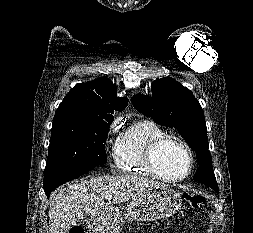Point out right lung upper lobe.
Segmentation results:
<instances>
[{
  "label": "right lung upper lobe",
  "mask_w": 253,
  "mask_h": 233,
  "mask_svg": "<svg viewBox=\"0 0 253 233\" xmlns=\"http://www.w3.org/2000/svg\"><path fill=\"white\" fill-rule=\"evenodd\" d=\"M116 91L115 85L107 78L77 84L60 103L57 111L113 117L114 110L122 111L128 104L126 98L116 96Z\"/></svg>",
  "instance_id": "obj_1"
}]
</instances>
